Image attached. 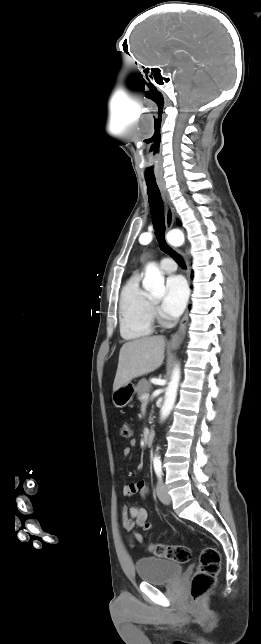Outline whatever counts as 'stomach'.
<instances>
[{
  "label": "stomach",
  "mask_w": 261,
  "mask_h": 644,
  "mask_svg": "<svg viewBox=\"0 0 261 644\" xmlns=\"http://www.w3.org/2000/svg\"><path fill=\"white\" fill-rule=\"evenodd\" d=\"M175 348V347H173ZM136 387L133 383L129 382L112 394V402L115 407L123 408L132 402Z\"/></svg>",
  "instance_id": "1"
}]
</instances>
